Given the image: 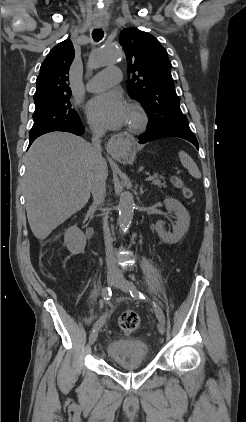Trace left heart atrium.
<instances>
[{
  "label": "left heart atrium",
  "mask_w": 246,
  "mask_h": 422,
  "mask_svg": "<svg viewBox=\"0 0 246 422\" xmlns=\"http://www.w3.org/2000/svg\"><path fill=\"white\" fill-rule=\"evenodd\" d=\"M87 115L95 125L116 129L129 120V108L118 92H105L93 97L87 104Z\"/></svg>",
  "instance_id": "obj_1"
}]
</instances>
